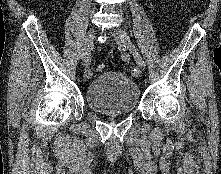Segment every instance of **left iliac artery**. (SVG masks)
I'll use <instances>...</instances> for the list:
<instances>
[{
  "label": "left iliac artery",
  "instance_id": "44dca946",
  "mask_svg": "<svg viewBox=\"0 0 221 174\" xmlns=\"http://www.w3.org/2000/svg\"><path fill=\"white\" fill-rule=\"evenodd\" d=\"M121 59H122L124 62H129V60H130V55H129L128 53L123 52V53L121 54ZM137 73H138V71H137L136 69H134V70L132 71V74H133V75H137Z\"/></svg>",
  "mask_w": 221,
  "mask_h": 174
}]
</instances>
